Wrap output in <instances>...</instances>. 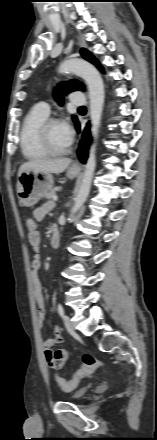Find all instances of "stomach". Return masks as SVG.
<instances>
[{"mask_svg": "<svg viewBox=\"0 0 157 440\" xmlns=\"http://www.w3.org/2000/svg\"><path fill=\"white\" fill-rule=\"evenodd\" d=\"M78 170L68 168L67 177L74 178ZM53 176L48 172L29 171L23 172L17 180V196L19 203L25 207H32L52 189Z\"/></svg>", "mask_w": 157, "mask_h": 440, "instance_id": "stomach-1", "label": "stomach"}]
</instances>
